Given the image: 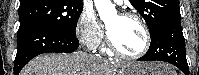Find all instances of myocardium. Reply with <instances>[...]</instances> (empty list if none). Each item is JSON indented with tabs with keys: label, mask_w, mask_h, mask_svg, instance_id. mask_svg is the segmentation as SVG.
<instances>
[{
	"label": "myocardium",
	"mask_w": 199,
	"mask_h": 75,
	"mask_svg": "<svg viewBox=\"0 0 199 75\" xmlns=\"http://www.w3.org/2000/svg\"><path fill=\"white\" fill-rule=\"evenodd\" d=\"M120 17L121 18H125V19H134L140 24V26H141V28H142V30L144 32V38H145L144 46L137 53H132V54L126 53L123 50H121L120 48H118L114 44V42L112 41L110 36L107 35L108 47L110 48L111 51H113L114 53H116V54H118V55H120V56H122L124 58L137 59V58L142 57L143 55H145L148 52V50L150 48V45H151V34H150V30L148 28L147 23L145 22V20L142 17H140L139 15H137L135 13H131V12L122 13V14H120Z\"/></svg>",
	"instance_id": "myocardium-1"
}]
</instances>
